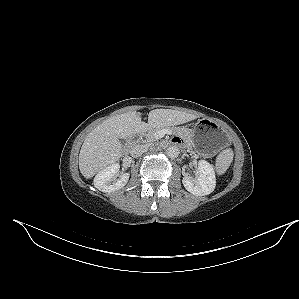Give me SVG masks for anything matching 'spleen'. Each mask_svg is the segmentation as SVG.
Returning <instances> with one entry per match:
<instances>
[{
    "instance_id": "3e777b00",
    "label": "spleen",
    "mask_w": 299,
    "mask_h": 299,
    "mask_svg": "<svg viewBox=\"0 0 299 299\" xmlns=\"http://www.w3.org/2000/svg\"><path fill=\"white\" fill-rule=\"evenodd\" d=\"M233 156L231 148H227L218 154L215 161V168L218 175H222L227 171L233 161Z\"/></svg>"
}]
</instances>
